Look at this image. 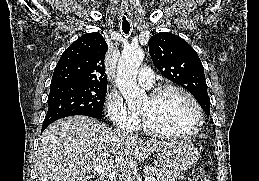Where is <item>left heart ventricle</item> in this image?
<instances>
[{
    "label": "left heart ventricle",
    "instance_id": "b2bd125f",
    "mask_svg": "<svg viewBox=\"0 0 259 181\" xmlns=\"http://www.w3.org/2000/svg\"><path fill=\"white\" fill-rule=\"evenodd\" d=\"M139 112L147 117L153 127L163 131L188 132L197 124L194 106L177 91H169L156 101L148 97Z\"/></svg>",
    "mask_w": 259,
    "mask_h": 181
}]
</instances>
